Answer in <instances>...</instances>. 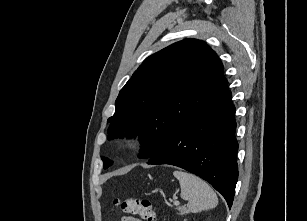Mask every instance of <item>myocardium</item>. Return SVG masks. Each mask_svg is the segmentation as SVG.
Here are the masks:
<instances>
[{"mask_svg":"<svg viewBox=\"0 0 307 221\" xmlns=\"http://www.w3.org/2000/svg\"><path fill=\"white\" fill-rule=\"evenodd\" d=\"M140 139V135L138 132H130L125 139V143L128 147H135Z\"/></svg>","mask_w":307,"mask_h":221,"instance_id":"1","label":"myocardium"}]
</instances>
